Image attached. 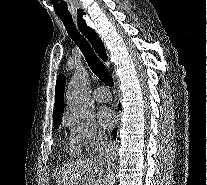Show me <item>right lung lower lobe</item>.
<instances>
[{
	"instance_id": "98d812e1",
	"label": "right lung lower lobe",
	"mask_w": 207,
	"mask_h": 185,
	"mask_svg": "<svg viewBox=\"0 0 207 185\" xmlns=\"http://www.w3.org/2000/svg\"><path fill=\"white\" fill-rule=\"evenodd\" d=\"M118 108L120 109V104L118 105ZM116 133H117V129H114L112 131V134H113V138L116 139Z\"/></svg>"
}]
</instances>
